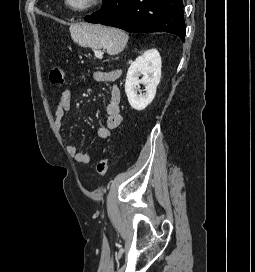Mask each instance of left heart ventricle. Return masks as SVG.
I'll use <instances>...</instances> for the list:
<instances>
[{
	"label": "left heart ventricle",
	"instance_id": "left-heart-ventricle-1",
	"mask_svg": "<svg viewBox=\"0 0 255 272\" xmlns=\"http://www.w3.org/2000/svg\"><path fill=\"white\" fill-rule=\"evenodd\" d=\"M84 1H86V0H75V3L78 4V5H80V4H83Z\"/></svg>",
	"mask_w": 255,
	"mask_h": 272
}]
</instances>
